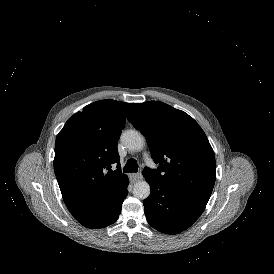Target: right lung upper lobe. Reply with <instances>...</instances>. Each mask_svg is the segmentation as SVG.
I'll return each instance as SVG.
<instances>
[{
	"instance_id": "cb5924a9",
	"label": "right lung upper lobe",
	"mask_w": 274,
	"mask_h": 274,
	"mask_svg": "<svg viewBox=\"0 0 274 274\" xmlns=\"http://www.w3.org/2000/svg\"><path fill=\"white\" fill-rule=\"evenodd\" d=\"M132 105L111 99L91 103L57 135L54 172L63 200L78 221L98 217L128 181L120 171L117 143Z\"/></svg>"
}]
</instances>
